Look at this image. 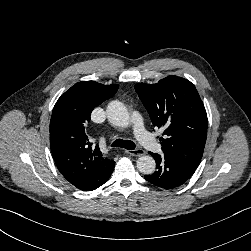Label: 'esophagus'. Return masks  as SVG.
<instances>
[{
  "label": "esophagus",
  "mask_w": 251,
  "mask_h": 251,
  "mask_svg": "<svg viewBox=\"0 0 251 251\" xmlns=\"http://www.w3.org/2000/svg\"><path fill=\"white\" fill-rule=\"evenodd\" d=\"M126 153L135 156V157H140L145 154V151L143 149H134V150H126Z\"/></svg>",
  "instance_id": "obj_1"
}]
</instances>
